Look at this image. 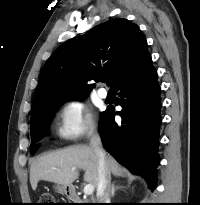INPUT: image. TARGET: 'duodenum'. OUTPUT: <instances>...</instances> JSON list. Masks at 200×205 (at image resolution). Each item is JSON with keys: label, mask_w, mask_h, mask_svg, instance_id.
<instances>
[{"label": "duodenum", "mask_w": 200, "mask_h": 205, "mask_svg": "<svg viewBox=\"0 0 200 205\" xmlns=\"http://www.w3.org/2000/svg\"><path fill=\"white\" fill-rule=\"evenodd\" d=\"M67 195L73 200L78 199L77 191L74 188H68Z\"/></svg>", "instance_id": "obj_1"}]
</instances>
